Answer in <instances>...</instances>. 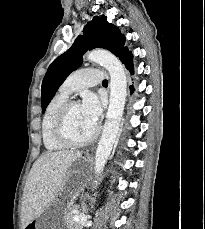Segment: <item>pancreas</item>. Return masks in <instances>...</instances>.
Wrapping results in <instances>:
<instances>
[{"label":"pancreas","instance_id":"obj_1","mask_svg":"<svg viewBox=\"0 0 205 229\" xmlns=\"http://www.w3.org/2000/svg\"><path fill=\"white\" fill-rule=\"evenodd\" d=\"M75 209V206L72 202L67 204V207L65 208V215L64 219L67 224L68 229H82L80 222L74 221L73 217L77 215V213H74L73 210Z\"/></svg>","mask_w":205,"mask_h":229}]
</instances>
